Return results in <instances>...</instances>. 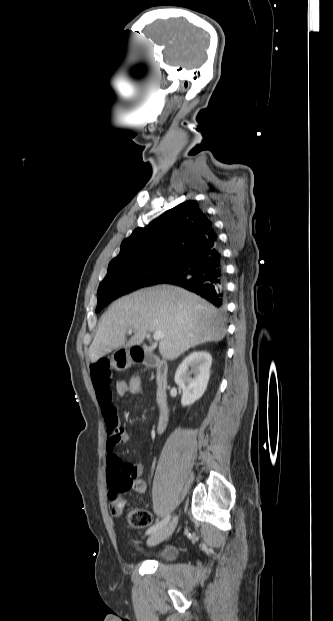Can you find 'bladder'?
Returning a JSON list of instances; mask_svg holds the SVG:
<instances>
[{"mask_svg": "<svg viewBox=\"0 0 333 621\" xmlns=\"http://www.w3.org/2000/svg\"><path fill=\"white\" fill-rule=\"evenodd\" d=\"M143 555L157 562H169L177 557L178 549L175 545L166 544L146 552Z\"/></svg>", "mask_w": 333, "mask_h": 621, "instance_id": "31cf9c89", "label": "bladder"}]
</instances>
